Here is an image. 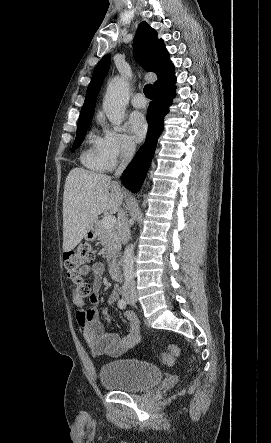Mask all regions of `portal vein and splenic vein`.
Wrapping results in <instances>:
<instances>
[{
  "mask_svg": "<svg viewBox=\"0 0 271 443\" xmlns=\"http://www.w3.org/2000/svg\"><path fill=\"white\" fill-rule=\"evenodd\" d=\"M101 223L105 229H112L116 223V218H114V216H106Z\"/></svg>",
  "mask_w": 271,
  "mask_h": 443,
  "instance_id": "portal-vein-and-splenic-vein-1",
  "label": "portal vein and splenic vein"
}]
</instances>
